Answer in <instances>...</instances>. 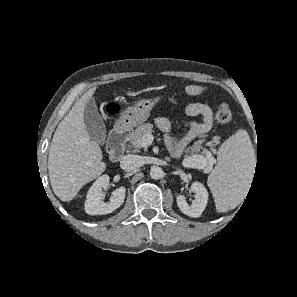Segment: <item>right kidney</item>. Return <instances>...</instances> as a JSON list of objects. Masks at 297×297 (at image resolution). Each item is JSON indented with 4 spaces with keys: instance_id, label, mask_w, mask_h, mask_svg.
<instances>
[{
    "instance_id": "ca27d5eb",
    "label": "right kidney",
    "mask_w": 297,
    "mask_h": 297,
    "mask_svg": "<svg viewBox=\"0 0 297 297\" xmlns=\"http://www.w3.org/2000/svg\"><path fill=\"white\" fill-rule=\"evenodd\" d=\"M110 178L108 175H102L90 187L85 201V211L89 215H105L112 213L119 208L125 199L126 189L121 186L111 195L109 202L104 203L102 190L109 185Z\"/></svg>"
}]
</instances>
